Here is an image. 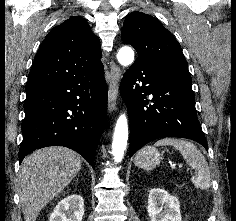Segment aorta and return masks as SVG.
Wrapping results in <instances>:
<instances>
[{
  "mask_svg": "<svg viewBox=\"0 0 236 221\" xmlns=\"http://www.w3.org/2000/svg\"><path fill=\"white\" fill-rule=\"evenodd\" d=\"M118 62L123 66H128L134 61V51L129 46H123L117 54ZM128 140V122L125 114H121L116 122L113 142L112 155L115 162H121L123 159Z\"/></svg>",
  "mask_w": 236,
  "mask_h": 221,
  "instance_id": "1",
  "label": "aorta"
}]
</instances>
